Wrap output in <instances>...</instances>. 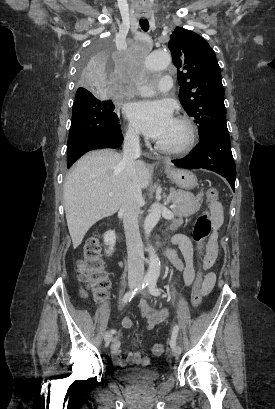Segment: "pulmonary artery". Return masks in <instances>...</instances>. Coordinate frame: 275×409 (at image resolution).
<instances>
[{"instance_id":"1","label":"pulmonary artery","mask_w":275,"mask_h":409,"mask_svg":"<svg viewBox=\"0 0 275 409\" xmlns=\"http://www.w3.org/2000/svg\"><path fill=\"white\" fill-rule=\"evenodd\" d=\"M158 87L162 88L163 94H174L175 93V86L173 85L171 75L167 74L164 76L163 79H159ZM151 91H152V88L148 85L140 87V92L142 93L143 96H147L148 93H150Z\"/></svg>"}]
</instances>
